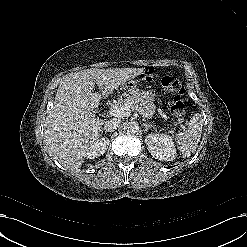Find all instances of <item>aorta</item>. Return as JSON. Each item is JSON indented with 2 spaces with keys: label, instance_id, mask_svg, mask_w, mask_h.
<instances>
[{
  "label": "aorta",
  "instance_id": "obj_1",
  "mask_svg": "<svg viewBox=\"0 0 247 247\" xmlns=\"http://www.w3.org/2000/svg\"><path fill=\"white\" fill-rule=\"evenodd\" d=\"M126 129L130 132H137L139 130V124L137 121H131L126 124Z\"/></svg>",
  "mask_w": 247,
  "mask_h": 247
}]
</instances>
